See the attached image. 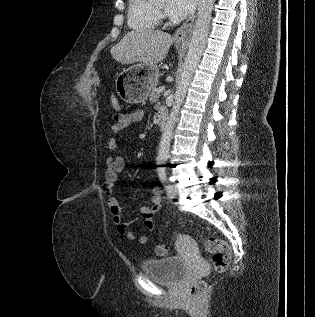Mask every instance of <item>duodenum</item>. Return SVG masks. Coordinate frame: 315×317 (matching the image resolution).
<instances>
[{
    "label": "duodenum",
    "mask_w": 315,
    "mask_h": 317,
    "mask_svg": "<svg viewBox=\"0 0 315 317\" xmlns=\"http://www.w3.org/2000/svg\"><path fill=\"white\" fill-rule=\"evenodd\" d=\"M168 121V112L164 108H160L158 112V124L159 128L162 131L164 127L166 126Z\"/></svg>",
    "instance_id": "410a0bca"
}]
</instances>
